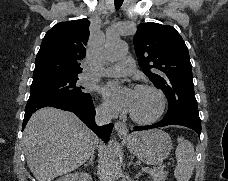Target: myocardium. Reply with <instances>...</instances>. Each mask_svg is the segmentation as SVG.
I'll list each match as a JSON object with an SVG mask.
<instances>
[{
  "label": "myocardium",
  "instance_id": "1",
  "mask_svg": "<svg viewBox=\"0 0 228 181\" xmlns=\"http://www.w3.org/2000/svg\"><path fill=\"white\" fill-rule=\"evenodd\" d=\"M134 89H149L155 93L158 99V104L155 111L148 117H139L132 113L130 116L132 120L140 124H150L157 120L164 111L166 99L163 92L156 86L149 83H137L134 85Z\"/></svg>",
  "mask_w": 228,
  "mask_h": 181
}]
</instances>
